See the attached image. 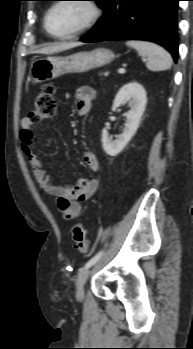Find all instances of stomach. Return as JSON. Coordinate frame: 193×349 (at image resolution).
I'll list each match as a JSON object with an SVG mask.
<instances>
[{"instance_id":"0dacf381","label":"stomach","mask_w":193,"mask_h":349,"mask_svg":"<svg viewBox=\"0 0 193 349\" xmlns=\"http://www.w3.org/2000/svg\"><path fill=\"white\" fill-rule=\"evenodd\" d=\"M114 58V53L106 48L68 56L41 57L31 63L29 73L34 83H42L66 73H85L109 64Z\"/></svg>"}]
</instances>
